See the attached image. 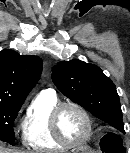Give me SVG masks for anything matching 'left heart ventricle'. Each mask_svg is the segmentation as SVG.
<instances>
[{
    "label": "left heart ventricle",
    "instance_id": "obj_1",
    "mask_svg": "<svg viewBox=\"0 0 130 153\" xmlns=\"http://www.w3.org/2000/svg\"><path fill=\"white\" fill-rule=\"evenodd\" d=\"M59 126L64 137L72 142H80L87 131L83 115L73 107L63 109L59 117Z\"/></svg>",
    "mask_w": 130,
    "mask_h": 153
}]
</instances>
